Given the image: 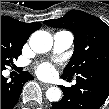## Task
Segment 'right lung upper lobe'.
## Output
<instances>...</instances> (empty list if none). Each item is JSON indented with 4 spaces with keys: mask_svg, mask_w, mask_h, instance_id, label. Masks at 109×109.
<instances>
[{
    "mask_svg": "<svg viewBox=\"0 0 109 109\" xmlns=\"http://www.w3.org/2000/svg\"><path fill=\"white\" fill-rule=\"evenodd\" d=\"M41 27V23H23L8 16H1V32L26 42L30 35Z\"/></svg>",
    "mask_w": 109,
    "mask_h": 109,
    "instance_id": "right-lung-upper-lobe-1",
    "label": "right lung upper lobe"
}]
</instances>
